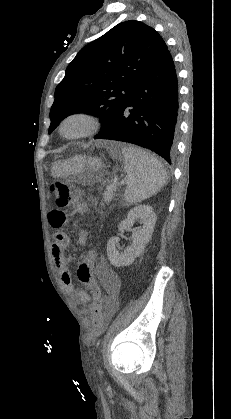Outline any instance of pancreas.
<instances>
[{
	"label": "pancreas",
	"mask_w": 231,
	"mask_h": 419,
	"mask_svg": "<svg viewBox=\"0 0 231 419\" xmlns=\"http://www.w3.org/2000/svg\"><path fill=\"white\" fill-rule=\"evenodd\" d=\"M114 190L115 189H109L107 188L106 191L103 193V199L104 201L108 204L109 202L112 201L113 197H114Z\"/></svg>",
	"instance_id": "1"
}]
</instances>
